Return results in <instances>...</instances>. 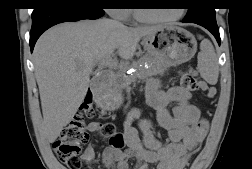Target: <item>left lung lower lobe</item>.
Wrapping results in <instances>:
<instances>
[{"label": "left lung lower lobe", "mask_w": 252, "mask_h": 169, "mask_svg": "<svg viewBox=\"0 0 252 169\" xmlns=\"http://www.w3.org/2000/svg\"><path fill=\"white\" fill-rule=\"evenodd\" d=\"M183 22L185 23H195L198 24L200 26H203L204 28H206L208 31H210L214 37L216 38L218 44L220 45V34H219V28L217 26L216 21H210V20H199V21H192V22H187L185 20H183Z\"/></svg>", "instance_id": "1"}]
</instances>
